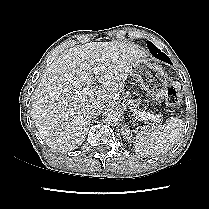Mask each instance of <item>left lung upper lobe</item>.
<instances>
[{"mask_svg":"<svg viewBox=\"0 0 209 209\" xmlns=\"http://www.w3.org/2000/svg\"><path fill=\"white\" fill-rule=\"evenodd\" d=\"M147 46L149 48L150 53L155 58L171 64V60L169 59V57L163 52H161V50L158 49L153 43H151L150 41H147Z\"/></svg>","mask_w":209,"mask_h":209,"instance_id":"left-lung-upper-lobe-1","label":"left lung upper lobe"}]
</instances>
